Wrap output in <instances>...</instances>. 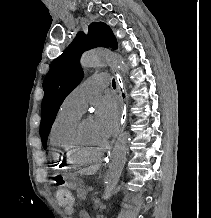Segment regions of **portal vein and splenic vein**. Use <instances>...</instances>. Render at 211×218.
I'll return each instance as SVG.
<instances>
[{
  "label": "portal vein and splenic vein",
  "instance_id": "1",
  "mask_svg": "<svg viewBox=\"0 0 211 218\" xmlns=\"http://www.w3.org/2000/svg\"><path fill=\"white\" fill-rule=\"evenodd\" d=\"M93 188H94L93 186H90V188L87 187L85 190H86L87 192H89V191H92Z\"/></svg>",
  "mask_w": 211,
  "mask_h": 218
}]
</instances>
